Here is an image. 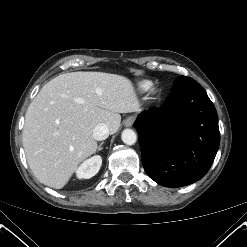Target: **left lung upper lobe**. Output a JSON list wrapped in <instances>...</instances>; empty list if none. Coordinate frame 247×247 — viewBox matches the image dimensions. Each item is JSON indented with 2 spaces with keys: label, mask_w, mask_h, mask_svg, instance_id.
I'll return each mask as SVG.
<instances>
[{
  "label": "left lung upper lobe",
  "mask_w": 247,
  "mask_h": 247,
  "mask_svg": "<svg viewBox=\"0 0 247 247\" xmlns=\"http://www.w3.org/2000/svg\"><path fill=\"white\" fill-rule=\"evenodd\" d=\"M191 79L192 78L181 76L178 79H176L175 82H183V81H188V80H191Z\"/></svg>",
  "instance_id": "obj_1"
}]
</instances>
